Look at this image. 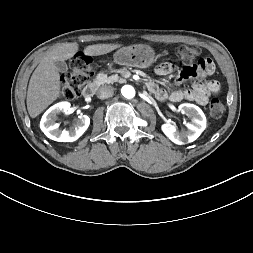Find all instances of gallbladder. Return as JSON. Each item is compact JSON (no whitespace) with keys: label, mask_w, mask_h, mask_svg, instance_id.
<instances>
[{"label":"gallbladder","mask_w":253,"mask_h":253,"mask_svg":"<svg viewBox=\"0 0 253 253\" xmlns=\"http://www.w3.org/2000/svg\"><path fill=\"white\" fill-rule=\"evenodd\" d=\"M55 65L58 71L61 73H65L68 70V66L64 61H56Z\"/></svg>","instance_id":"gallbladder-1"}]
</instances>
